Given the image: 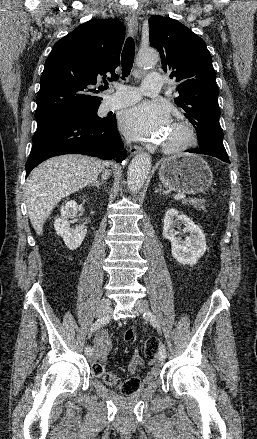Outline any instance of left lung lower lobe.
<instances>
[{"label":"left lung lower lobe","instance_id":"0a47b994","mask_svg":"<svg viewBox=\"0 0 257 439\" xmlns=\"http://www.w3.org/2000/svg\"><path fill=\"white\" fill-rule=\"evenodd\" d=\"M187 152L210 155V156L216 157V158H218L226 163H230L227 152H216V151L208 150V149H193V150H187Z\"/></svg>","mask_w":257,"mask_h":439}]
</instances>
